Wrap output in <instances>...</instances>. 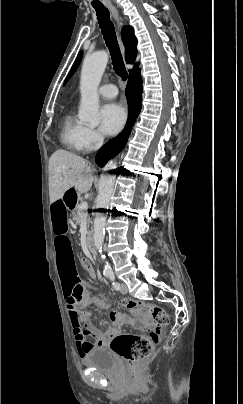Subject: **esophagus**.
Instances as JSON below:
<instances>
[{"instance_id":"obj_1","label":"esophagus","mask_w":243,"mask_h":404,"mask_svg":"<svg viewBox=\"0 0 243 404\" xmlns=\"http://www.w3.org/2000/svg\"><path fill=\"white\" fill-rule=\"evenodd\" d=\"M109 8H110L111 14L113 15V18H114L115 21H116L117 28H118V30L120 31V30H121V27H122V21H121L120 15H119V13H118V10H117V8H115V7H113V6H110ZM119 44H120L121 50H122V52H123V51H124V47H123V44H122V41H121L120 38H119Z\"/></svg>"}]
</instances>
